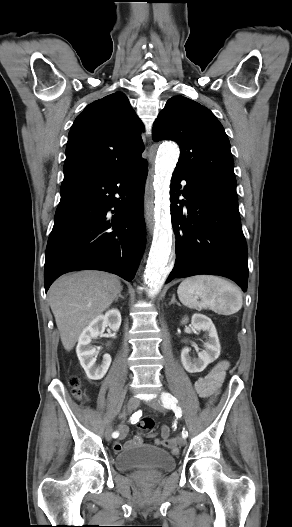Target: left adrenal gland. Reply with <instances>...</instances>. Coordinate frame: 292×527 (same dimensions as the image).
I'll use <instances>...</instances> for the list:
<instances>
[{
	"instance_id": "1",
	"label": "left adrenal gland",
	"mask_w": 292,
	"mask_h": 527,
	"mask_svg": "<svg viewBox=\"0 0 292 527\" xmlns=\"http://www.w3.org/2000/svg\"><path fill=\"white\" fill-rule=\"evenodd\" d=\"M174 303H176L177 305L180 306V303H178V302L176 301V299H175V294L172 295V299H171L169 305L174 304Z\"/></svg>"
}]
</instances>
